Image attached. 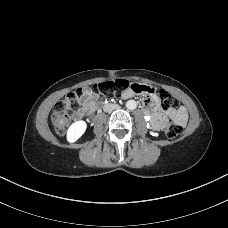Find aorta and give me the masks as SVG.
<instances>
[{
    "label": "aorta",
    "mask_w": 228,
    "mask_h": 228,
    "mask_svg": "<svg viewBox=\"0 0 228 228\" xmlns=\"http://www.w3.org/2000/svg\"><path fill=\"white\" fill-rule=\"evenodd\" d=\"M126 107H127L128 109H130V110H134V109H136V107H137V103H136L135 100H128V101L126 102Z\"/></svg>",
    "instance_id": "762f6f07"
}]
</instances>
